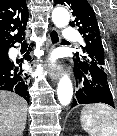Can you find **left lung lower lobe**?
<instances>
[{
  "instance_id": "left-lung-lower-lobe-1",
  "label": "left lung lower lobe",
  "mask_w": 117,
  "mask_h": 136,
  "mask_svg": "<svg viewBox=\"0 0 117 136\" xmlns=\"http://www.w3.org/2000/svg\"><path fill=\"white\" fill-rule=\"evenodd\" d=\"M74 67L77 78L84 79V87L76 92L71 108L78 104L91 103H105L114 107L106 70L94 61L79 57L74 59Z\"/></svg>"
}]
</instances>
